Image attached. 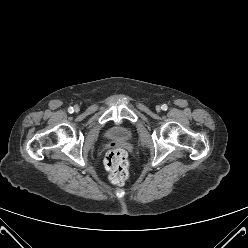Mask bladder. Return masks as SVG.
Masks as SVG:
<instances>
[{"mask_svg": "<svg viewBox=\"0 0 248 248\" xmlns=\"http://www.w3.org/2000/svg\"><path fill=\"white\" fill-rule=\"evenodd\" d=\"M107 134L111 139L128 140L131 138L132 132L127 127L114 126L108 130Z\"/></svg>", "mask_w": 248, "mask_h": 248, "instance_id": "1", "label": "bladder"}]
</instances>
